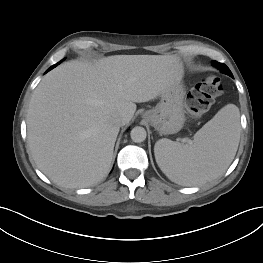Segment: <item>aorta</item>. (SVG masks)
<instances>
[{
	"label": "aorta",
	"instance_id": "obj_1",
	"mask_svg": "<svg viewBox=\"0 0 263 263\" xmlns=\"http://www.w3.org/2000/svg\"><path fill=\"white\" fill-rule=\"evenodd\" d=\"M130 136L135 143H141L146 139L147 133L143 127L136 126L131 130Z\"/></svg>",
	"mask_w": 263,
	"mask_h": 263
}]
</instances>
